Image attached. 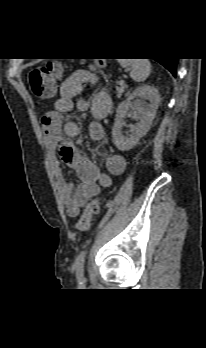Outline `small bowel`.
<instances>
[{
    "label": "small bowel",
    "instance_id": "c3829d8e",
    "mask_svg": "<svg viewBox=\"0 0 206 348\" xmlns=\"http://www.w3.org/2000/svg\"><path fill=\"white\" fill-rule=\"evenodd\" d=\"M95 74L78 70L69 76L61 85L59 97L54 103V109L44 114L42 132L54 167V174L61 191L62 200L68 216L76 217L81 207L93 196L100 193L101 188L112 186L113 175H121L126 169V160L117 153L106 156V172L100 170L88 158L81 155L76 148L62 137V132L69 137L79 135L81 127L72 120H66L64 114L76 110L90 111L92 121L88 126L91 139L97 142L106 140L105 129L101 123L111 109V98L101 90L95 93L90 101L81 97L84 84H94ZM60 162L70 166L80 180L77 188L66 182L60 168Z\"/></svg>",
    "mask_w": 206,
    "mask_h": 348
}]
</instances>
